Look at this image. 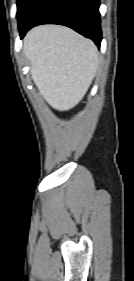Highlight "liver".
I'll list each match as a JSON object with an SVG mask.
<instances>
[{"label":"liver","mask_w":134,"mask_h":281,"mask_svg":"<svg viewBox=\"0 0 134 281\" xmlns=\"http://www.w3.org/2000/svg\"><path fill=\"white\" fill-rule=\"evenodd\" d=\"M24 53L40 95L54 109L67 111L84 97L96 74V45L72 29L42 25L24 38Z\"/></svg>","instance_id":"obj_1"}]
</instances>
